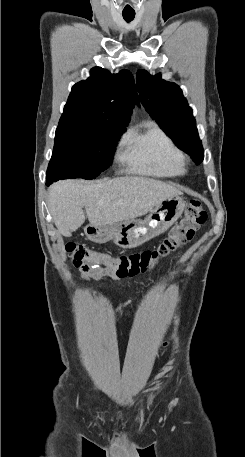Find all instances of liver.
I'll list each match as a JSON object with an SVG mask.
<instances>
[{
	"instance_id": "6515ba94",
	"label": "liver",
	"mask_w": 245,
	"mask_h": 457,
	"mask_svg": "<svg viewBox=\"0 0 245 457\" xmlns=\"http://www.w3.org/2000/svg\"><path fill=\"white\" fill-rule=\"evenodd\" d=\"M181 190L146 176H117L110 180H58L49 186L48 208L63 237H71L85 220L106 226L131 220L153 210L161 200Z\"/></svg>"
}]
</instances>
